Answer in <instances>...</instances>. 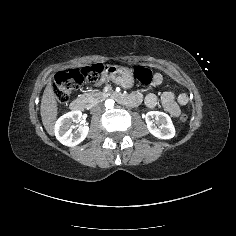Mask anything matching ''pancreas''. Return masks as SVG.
Listing matches in <instances>:
<instances>
[{
	"mask_svg": "<svg viewBox=\"0 0 236 236\" xmlns=\"http://www.w3.org/2000/svg\"><path fill=\"white\" fill-rule=\"evenodd\" d=\"M107 97H108L107 93L99 91V92L85 93L80 96V99L83 100L88 107H91L92 105L105 100Z\"/></svg>",
	"mask_w": 236,
	"mask_h": 236,
	"instance_id": "obj_1",
	"label": "pancreas"
}]
</instances>
